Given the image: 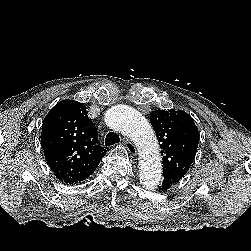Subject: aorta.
<instances>
[{
    "instance_id": "obj_1",
    "label": "aorta",
    "mask_w": 251,
    "mask_h": 251,
    "mask_svg": "<svg viewBox=\"0 0 251 251\" xmlns=\"http://www.w3.org/2000/svg\"><path fill=\"white\" fill-rule=\"evenodd\" d=\"M106 124L130 138L140 151V182L149 190L155 189L162 179L159 146L153 129L146 118L135 109L118 105L105 113Z\"/></svg>"
}]
</instances>
